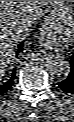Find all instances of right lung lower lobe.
<instances>
[{"label": "right lung lower lobe", "instance_id": "1", "mask_svg": "<svg viewBox=\"0 0 74 122\" xmlns=\"http://www.w3.org/2000/svg\"><path fill=\"white\" fill-rule=\"evenodd\" d=\"M23 42H21L16 50V55H18L21 51H23ZM16 69L13 70L11 77L6 81H0V95L7 92L9 89H11L14 79H15Z\"/></svg>", "mask_w": 74, "mask_h": 122}]
</instances>
